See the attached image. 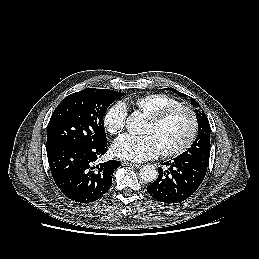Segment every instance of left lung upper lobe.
<instances>
[{
  "label": "left lung upper lobe",
  "mask_w": 259,
  "mask_h": 259,
  "mask_svg": "<svg viewBox=\"0 0 259 259\" xmlns=\"http://www.w3.org/2000/svg\"><path fill=\"white\" fill-rule=\"evenodd\" d=\"M165 90H171L177 93L179 96H185L184 93H181L173 88H165ZM193 106L200 107L199 104L195 101H191ZM196 112V117L198 119V136L195 142L191 145L187 151L183 152L182 157L190 158L199 163L205 164L208 166L209 156H210V124L207 119V116L204 112Z\"/></svg>",
  "instance_id": "1"
}]
</instances>
